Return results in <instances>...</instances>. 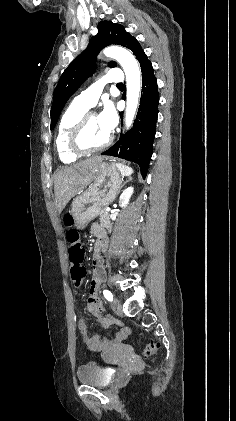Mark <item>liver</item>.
<instances>
[{"instance_id":"obj_1","label":"liver","mask_w":236,"mask_h":421,"mask_svg":"<svg viewBox=\"0 0 236 421\" xmlns=\"http://www.w3.org/2000/svg\"><path fill=\"white\" fill-rule=\"evenodd\" d=\"M106 156H91L73 166H62L54 174V194L58 213H62L72 196L78 194L91 178H94L99 164Z\"/></svg>"}]
</instances>
